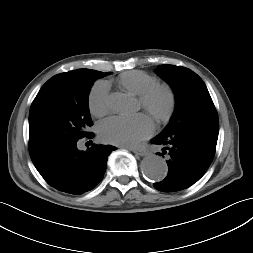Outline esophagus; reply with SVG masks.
I'll return each mask as SVG.
<instances>
[{"label":"esophagus","instance_id":"obj_1","mask_svg":"<svg viewBox=\"0 0 253 253\" xmlns=\"http://www.w3.org/2000/svg\"><path fill=\"white\" fill-rule=\"evenodd\" d=\"M132 151L139 156H146L148 155L149 151L147 149H143V148H136V149H132Z\"/></svg>","mask_w":253,"mask_h":253}]
</instances>
